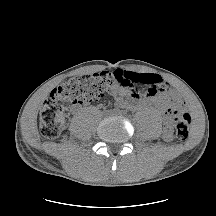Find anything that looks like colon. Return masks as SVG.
I'll return each instance as SVG.
<instances>
[{
  "label": "colon",
  "instance_id": "obj_1",
  "mask_svg": "<svg viewBox=\"0 0 216 216\" xmlns=\"http://www.w3.org/2000/svg\"><path fill=\"white\" fill-rule=\"evenodd\" d=\"M116 85L132 87L137 85V81L127 71H104L70 79L55 88L40 111L42 135L48 139L57 138L73 108L99 101ZM167 116L175 127L177 138L186 140L189 136L190 115L180 107L170 109Z\"/></svg>",
  "mask_w": 216,
  "mask_h": 216
}]
</instances>
